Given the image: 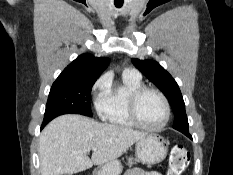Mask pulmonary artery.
<instances>
[{
	"instance_id": "pulmonary-artery-1",
	"label": "pulmonary artery",
	"mask_w": 233,
	"mask_h": 175,
	"mask_svg": "<svg viewBox=\"0 0 233 175\" xmlns=\"http://www.w3.org/2000/svg\"><path fill=\"white\" fill-rule=\"evenodd\" d=\"M125 73L131 74V75H134V76H139V77H140L139 72H138L137 70H135V69H127V70L125 71Z\"/></svg>"
}]
</instances>
